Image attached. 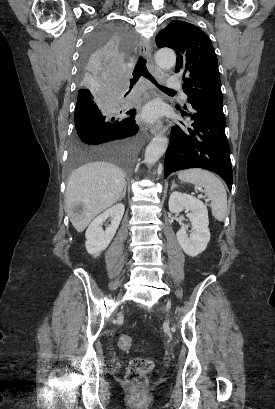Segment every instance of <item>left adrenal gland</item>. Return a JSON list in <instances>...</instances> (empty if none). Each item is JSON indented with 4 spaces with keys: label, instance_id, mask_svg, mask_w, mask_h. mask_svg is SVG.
Listing matches in <instances>:
<instances>
[{
    "label": "left adrenal gland",
    "instance_id": "obj_1",
    "mask_svg": "<svg viewBox=\"0 0 275 409\" xmlns=\"http://www.w3.org/2000/svg\"><path fill=\"white\" fill-rule=\"evenodd\" d=\"M175 186H177V184H175V180H172V186H171L170 190H173V188H175Z\"/></svg>",
    "mask_w": 275,
    "mask_h": 409
}]
</instances>
